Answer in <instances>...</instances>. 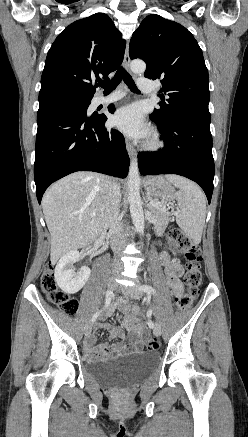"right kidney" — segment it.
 Returning a JSON list of instances; mask_svg holds the SVG:
<instances>
[{"label":"right kidney","mask_w":248,"mask_h":437,"mask_svg":"<svg viewBox=\"0 0 248 437\" xmlns=\"http://www.w3.org/2000/svg\"><path fill=\"white\" fill-rule=\"evenodd\" d=\"M81 259V253L73 250L65 254L56 265L55 281L57 285L67 294H75L80 291L88 281L91 270L87 266L74 271L73 264Z\"/></svg>","instance_id":"obj_1"}]
</instances>
